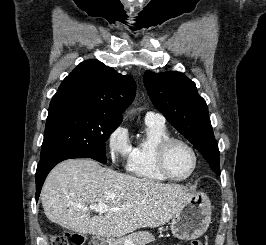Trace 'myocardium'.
<instances>
[{
    "mask_svg": "<svg viewBox=\"0 0 266 245\" xmlns=\"http://www.w3.org/2000/svg\"><path fill=\"white\" fill-rule=\"evenodd\" d=\"M174 143H181L184 144L186 147H188L191 152L193 153L194 156V166L192 171L183 178H176L174 177L171 172L169 171L168 167H167V153L169 148L174 144ZM156 162H157V166L159 171L161 172V174L168 180L170 181H174V182H184L189 180L190 178H192L198 167H199V154L198 151L196 150V148L187 140L180 138V137H174V136H169L165 139H163L156 150Z\"/></svg>",
    "mask_w": 266,
    "mask_h": 245,
    "instance_id": "f54148a6",
    "label": "myocardium"
}]
</instances>
